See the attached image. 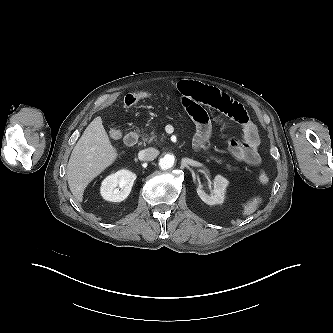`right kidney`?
<instances>
[{
    "label": "right kidney",
    "mask_w": 333,
    "mask_h": 333,
    "mask_svg": "<svg viewBox=\"0 0 333 333\" xmlns=\"http://www.w3.org/2000/svg\"><path fill=\"white\" fill-rule=\"evenodd\" d=\"M136 175L128 170H120L108 176L101 184V195L107 201L121 202L129 195Z\"/></svg>",
    "instance_id": "obj_1"
}]
</instances>
